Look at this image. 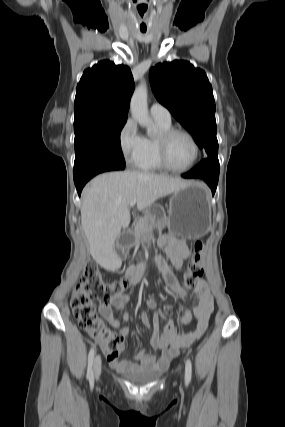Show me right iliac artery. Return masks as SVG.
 Here are the masks:
<instances>
[{"label": "right iliac artery", "mask_w": 285, "mask_h": 427, "mask_svg": "<svg viewBox=\"0 0 285 427\" xmlns=\"http://www.w3.org/2000/svg\"><path fill=\"white\" fill-rule=\"evenodd\" d=\"M95 348L92 347L89 356H88V369H87V379L90 382H93V359H94Z\"/></svg>", "instance_id": "1"}]
</instances>
